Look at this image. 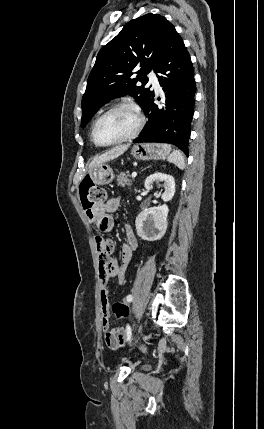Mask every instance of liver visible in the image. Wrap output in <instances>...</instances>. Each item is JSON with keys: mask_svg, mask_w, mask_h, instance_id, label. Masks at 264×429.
<instances>
[{"mask_svg": "<svg viewBox=\"0 0 264 429\" xmlns=\"http://www.w3.org/2000/svg\"><path fill=\"white\" fill-rule=\"evenodd\" d=\"M128 147L129 144L116 146L115 148H112L99 156H95L91 161L89 168L119 157L128 149Z\"/></svg>", "mask_w": 264, "mask_h": 429, "instance_id": "6515ba94", "label": "liver"}]
</instances>
